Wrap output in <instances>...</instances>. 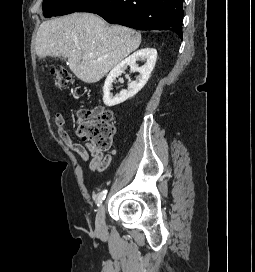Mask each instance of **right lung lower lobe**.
I'll list each match as a JSON object with an SVG mask.
<instances>
[{"label":"right lung lower lobe","instance_id":"obj_1","mask_svg":"<svg viewBox=\"0 0 255 272\" xmlns=\"http://www.w3.org/2000/svg\"><path fill=\"white\" fill-rule=\"evenodd\" d=\"M76 12L139 30H171L182 39L183 0H90Z\"/></svg>","mask_w":255,"mask_h":272}]
</instances>
